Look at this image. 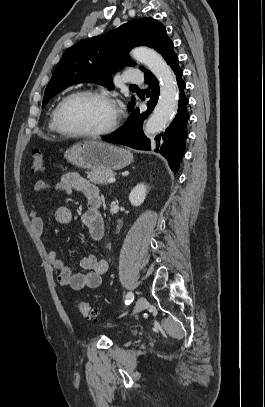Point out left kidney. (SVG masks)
<instances>
[{
    "label": "left kidney",
    "instance_id": "obj_1",
    "mask_svg": "<svg viewBox=\"0 0 265 407\" xmlns=\"http://www.w3.org/2000/svg\"><path fill=\"white\" fill-rule=\"evenodd\" d=\"M147 190L144 184L135 186L129 194V200L133 206H140L146 197Z\"/></svg>",
    "mask_w": 265,
    "mask_h": 407
}]
</instances>
